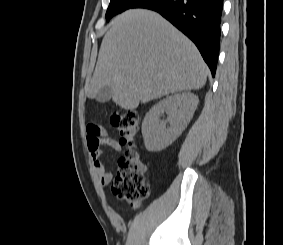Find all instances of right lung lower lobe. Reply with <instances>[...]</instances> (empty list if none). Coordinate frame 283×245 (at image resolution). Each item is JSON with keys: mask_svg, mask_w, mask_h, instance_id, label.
Segmentation results:
<instances>
[{"mask_svg": "<svg viewBox=\"0 0 283 245\" xmlns=\"http://www.w3.org/2000/svg\"><path fill=\"white\" fill-rule=\"evenodd\" d=\"M132 8L160 13L198 47L215 76L223 0H140Z\"/></svg>", "mask_w": 283, "mask_h": 245, "instance_id": "obj_1", "label": "right lung lower lobe"}]
</instances>
